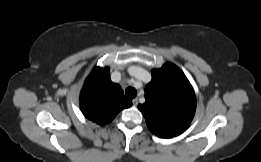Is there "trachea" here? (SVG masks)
I'll list each match as a JSON object with an SVG mask.
<instances>
[{
  "mask_svg": "<svg viewBox=\"0 0 261 162\" xmlns=\"http://www.w3.org/2000/svg\"><path fill=\"white\" fill-rule=\"evenodd\" d=\"M125 95L128 99H133L136 97L137 95V91L136 89L134 88H131V87H128L126 90H125Z\"/></svg>",
  "mask_w": 261,
  "mask_h": 162,
  "instance_id": "obj_1",
  "label": "trachea"
}]
</instances>
